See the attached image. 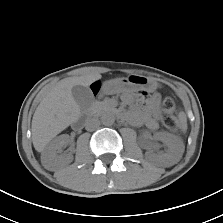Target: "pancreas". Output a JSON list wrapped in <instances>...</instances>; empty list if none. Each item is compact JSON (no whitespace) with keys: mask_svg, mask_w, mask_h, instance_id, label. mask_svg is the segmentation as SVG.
<instances>
[{"mask_svg":"<svg viewBox=\"0 0 223 223\" xmlns=\"http://www.w3.org/2000/svg\"><path fill=\"white\" fill-rule=\"evenodd\" d=\"M111 109H112V107H111L110 101L108 99H105L104 101L93 102L90 106V110L94 114H101V113H104Z\"/></svg>","mask_w":223,"mask_h":223,"instance_id":"pancreas-1","label":"pancreas"}]
</instances>
